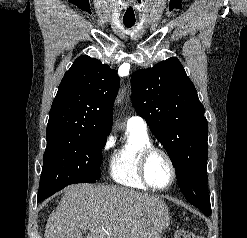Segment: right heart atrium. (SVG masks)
Here are the masks:
<instances>
[{"instance_id": "d8ad5b80", "label": "right heart atrium", "mask_w": 247, "mask_h": 238, "mask_svg": "<svg viewBox=\"0 0 247 238\" xmlns=\"http://www.w3.org/2000/svg\"><path fill=\"white\" fill-rule=\"evenodd\" d=\"M111 142H112L111 136L107 135L102 142V148L107 149L111 145Z\"/></svg>"}]
</instances>
